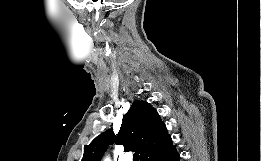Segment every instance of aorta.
I'll return each mask as SVG.
<instances>
[{
  "label": "aorta",
  "mask_w": 261,
  "mask_h": 161,
  "mask_svg": "<svg viewBox=\"0 0 261 161\" xmlns=\"http://www.w3.org/2000/svg\"><path fill=\"white\" fill-rule=\"evenodd\" d=\"M104 161H111L109 157L105 158Z\"/></svg>",
  "instance_id": "obj_1"
}]
</instances>
